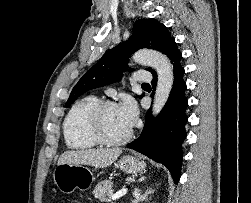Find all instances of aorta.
Segmentation results:
<instances>
[{
  "label": "aorta",
  "instance_id": "762f6f07",
  "mask_svg": "<svg viewBox=\"0 0 251 203\" xmlns=\"http://www.w3.org/2000/svg\"><path fill=\"white\" fill-rule=\"evenodd\" d=\"M133 59L138 64L151 66L157 72L158 81L152 108L153 115L157 116L165 106L173 86L171 63L164 54L150 49L137 51Z\"/></svg>",
  "mask_w": 251,
  "mask_h": 203
}]
</instances>
